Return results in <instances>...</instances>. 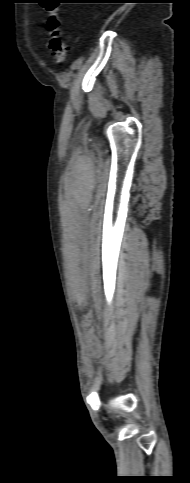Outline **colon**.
<instances>
[{"label":"colon","instance_id":"colon-1","mask_svg":"<svg viewBox=\"0 0 190 483\" xmlns=\"http://www.w3.org/2000/svg\"><path fill=\"white\" fill-rule=\"evenodd\" d=\"M49 40L47 48L53 60L57 64H62L68 54V45L64 39L62 21L57 8L51 10V14L46 24Z\"/></svg>","mask_w":190,"mask_h":483}]
</instances>
